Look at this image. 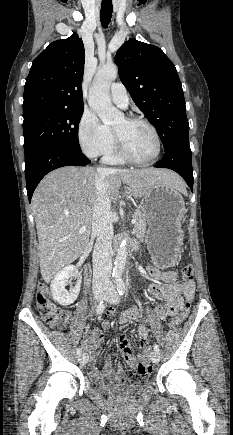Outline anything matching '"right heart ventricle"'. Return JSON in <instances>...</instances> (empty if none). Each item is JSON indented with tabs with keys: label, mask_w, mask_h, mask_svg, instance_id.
Returning <instances> with one entry per match:
<instances>
[{
	"label": "right heart ventricle",
	"mask_w": 233,
	"mask_h": 435,
	"mask_svg": "<svg viewBox=\"0 0 233 435\" xmlns=\"http://www.w3.org/2000/svg\"><path fill=\"white\" fill-rule=\"evenodd\" d=\"M104 162L110 165H122L125 163L120 156L114 141L109 151L104 155Z\"/></svg>",
	"instance_id": "1"
}]
</instances>
